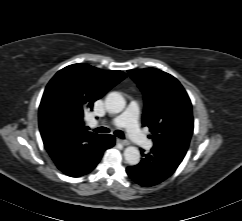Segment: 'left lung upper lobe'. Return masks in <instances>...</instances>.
I'll list each match as a JSON object with an SVG mask.
<instances>
[{
	"instance_id": "5c2ea615",
	"label": "left lung upper lobe",
	"mask_w": 242,
	"mask_h": 221,
	"mask_svg": "<svg viewBox=\"0 0 242 221\" xmlns=\"http://www.w3.org/2000/svg\"><path fill=\"white\" fill-rule=\"evenodd\" d=\"M144 94L143 126L154 146L183 159L193 133L191 101L172 75L154 68L128 70Z\"/></svg>"
}]
</instances>
